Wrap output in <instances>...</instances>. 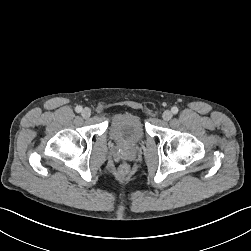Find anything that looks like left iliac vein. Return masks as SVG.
Listing matches in <instances>:
<instances>
[{
	"label": "left iliac vein",
	"mask_w": 251,
	"mask_h": 251,
	"mask_svg": "<svg viewBox=\"0 0 251 251\" xmlns=\"http://www.w3.org/2000/svg\"><path fill=\"white\" fill-rule=\"evenodd\" d=\"M172 117H173V114H172V112L169 111V110L164 111L163 114H162V118H163L165 121H169Z\"/></svg>",
	"instance_id": "4c4485c4"
}]
</instances>
